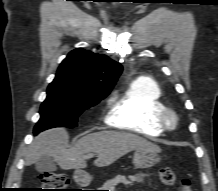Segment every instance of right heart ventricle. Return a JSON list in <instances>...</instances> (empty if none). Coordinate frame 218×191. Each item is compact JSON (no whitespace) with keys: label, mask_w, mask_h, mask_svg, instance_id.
Listing matches in <instances>:
<instances>
[{"label":"right heart ventricle","mask_w":218,"mask_h":191,"mask_svg":"<svg viewBox=\"0 0 218 191\" xmlns=\"http://www.w3.org/2000/svg\"><path fill=\"white\" fill-rule=\"evenodd\" d=\"M164 108L159 85L152 79L141 78L114 99L107 121L122 130L156 137L164 132L158 119Z\"/></svg>","instance_id":"obj_1"}]
</instances>
